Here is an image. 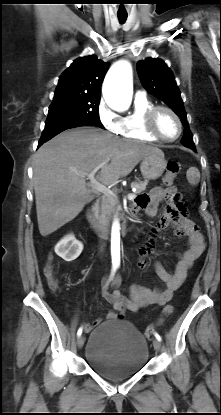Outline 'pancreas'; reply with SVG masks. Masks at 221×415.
Wrapping results in <instances>:
<instances>
[{
    "instance_id": "1",
    "label": "pancreas",
    "mask_w": 221,
    "mask_h": 415,
    "mask_svg": "<svg viewBox=\"0 0 221 415\" xmlns=\"http://www.w3.org/2000/svg\"><path fill=\"white\" fill-rule=\"evenodd\" d=\"M147 184V181L132 182L131 187L136 188L134 194L136 195L143 192L146 189ZM118 207L119 199L115 194H104L97 200L94 209L97 213V216L101 220L108 221L111 218L112 214H114L117 211Z\"/></svg>"
}]
</instances>
